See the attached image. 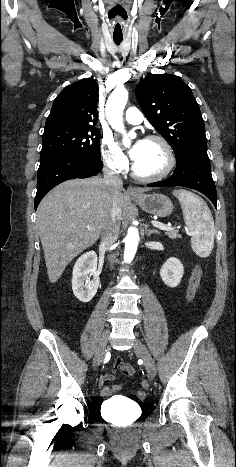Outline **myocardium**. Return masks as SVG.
<instances>
[{"mask_svg":"<svg viewBox=\"0 0 236 467\" xmlns=\"http://www.w3.org/2000/svg\"><path fill=\"white\" fill-rule=\"evenodd\" d=\"M146 141H155V142H158L161 144V146L163 147L164 151H165V154H166V165L164 167V169L156 174H152V175H145V174H141L137 168H136V165H135V162L133 163L132 165V175L138 179V180H141V181H145V182H153V181H159V180H162L164 178H166L167 176H169L172 171L174 170L175 166H176V157H175V153L173 151V148L172 146L170 145V143L163 137L159 136V135H149L145 138Z\"/></svg>","mask_w":236,"mask_h":467,"instance_id":"1","label":"myocardium"}]
</instances>
